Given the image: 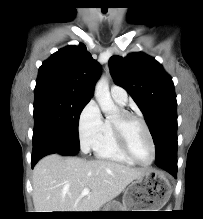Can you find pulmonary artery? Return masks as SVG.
<instances>
[{
    "instance_id": "e3ab8cb5",
    "label": "pulmonary artery",
    "mask_w": 203,
    "mask_h": 219,
    "mask_svg": "<svg viewBox=\"0 0 203 219\" xmlns=\"http://www.w3.org/2000/svg\"><path fill=\"white\" fill-rule=\"evenodd\" d=\"M112 98L120 105L127 103V92L120 86L113 85L110 90Z\"/></svg>"
}]
</instances>
